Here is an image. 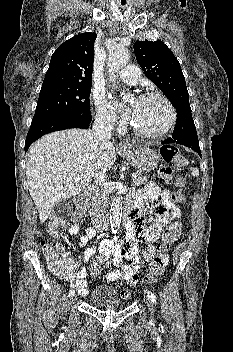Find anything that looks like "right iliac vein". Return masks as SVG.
I'll use <instances>...</instances> for the list:
<instances>
[{
    "label": "right iliac vein",
    "mask_w": 233,
    "mask_h": 352,
    "mask_svg": "<svg viewBox=\"0 0 233 352\" xmlns=\"http://www.w3.org/2000/svg\"><path fill=\"white\" fill-rule=\"evenodd\" d=\"M76 299H77L76 296L72 295L71 298H70L71 304H73L76 301Z\"/></svg>",
    "instance_id": "63e3f726"
}]
</instances>
